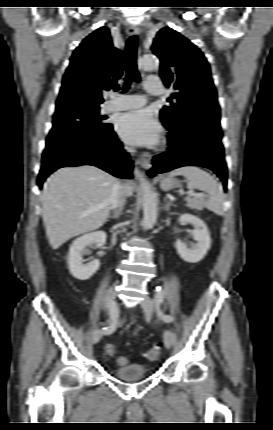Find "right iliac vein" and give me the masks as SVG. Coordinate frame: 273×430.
<instances>
[{"label": "right iliac vein", "mask_w": 273, "mask_h": 430, "mask_svg": "<svg viewBox=\"0 0 273 430\" xmlns=\"http://www.w3.org/2000/svg\"><path fill=\"white\" fill-rule=\"evenodd\" d=\"M114 299H115V286L111 287L106 295L107 308L110 315V319H109L110 322L112 320L113 312H118V306L115 303ZM101 336H102V331L100 329H97L91 337V342L93 344H96L97 342L100 341Z\"/></svg>", "instance_id": "obj_1"}]
</instances>
